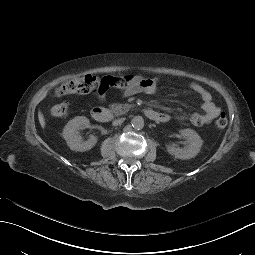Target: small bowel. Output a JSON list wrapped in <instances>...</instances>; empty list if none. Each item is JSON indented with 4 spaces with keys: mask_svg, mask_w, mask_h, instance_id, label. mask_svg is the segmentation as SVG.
Listing matches in <instances>:
<instances>
[{
    "mask_svg": "<svg viewBox=\"0 0 255 255\" xmlns=\"http://www.w3.org/2000/svg\"><path fill=\"white\" fill-rule=\"evenodd\" d=\"M159 85L160 81L157 78L137 76L134 77L133 83L123 91L122 96L129 97L140 92L152 95L156 93ZM189 88L192 93L200 97L203 113H194L189 117L180 116L178 119L188 120L195 126L209 124L221 113V108L214 103L211 94L201 85L190 83ZM98 97L99 99L104 100V91H99Z\"/></svg>",
    "mask_w": 255,
    "mask_h": 255,
    "instance_id": "obj_1",
    "label": "small bowel"
}]
</instances>
